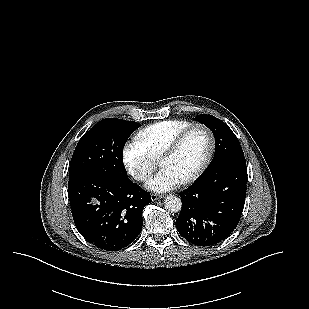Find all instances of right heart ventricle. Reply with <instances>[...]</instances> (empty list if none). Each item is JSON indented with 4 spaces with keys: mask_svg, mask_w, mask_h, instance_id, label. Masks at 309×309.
<instances>
[{
    "mask_svg": "<svg viewBox=\"0 0 309 309\" xmlns=\"http://www.w3.org/2000/svg\"><path fill=\"white\" fill-rule=\"evenodd\" d=\"M192 123L171 119L150 124L137 133V142L155 159H159L170 142Z\"/></svg>",
    "mask_w": 309,
    "mask_h": 309,
    "instance_id": "right-heart-ventricle-1",
    "label": "right heart ventricle"
}]
</instances>
